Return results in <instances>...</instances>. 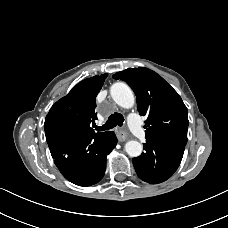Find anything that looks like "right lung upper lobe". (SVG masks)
Returning <instances> with one entry per match:
<instances>
[{
  "instance_id": "right-lung-upper-lobe-1",
  "label": "right lung upper lobe",
  "mask_w": 228,
  "mask_h": 228,
  "mask_svg": "<svg viewBox=\"0 0 228 228\" xmlns=\"http://www.w3.org/2000/svg\"><path fill=\"white\" fill-rule=\"evenodd\" d=\"M107 76V74H102L81 81L51 107L44 123L46 139L65 131L70 132L72 137L82 134L100 135L109 132L96 133L92 128L94 120L97 118L95 113L96 96Z\"/></svg>"
}]
</instances>
